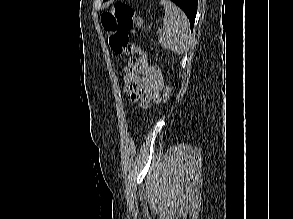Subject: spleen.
<instances>
[{
    "instance_id": "1",
    "label": "spleen",
    "mask_w": 293,
    "mask_h": 219,
    "mask_svg": "<svg viewBox=\"0 0 293 219\" xmlns=\"http://www.w3.org/2000/svg\"><path fill=\"white\" fill-rule=\"evenodd\" d=\"M164 6L163 29L159 34L160 45L181 54L189 42V21L184 12L169 0H160Z\"/></svg>"
}]
</instances>
